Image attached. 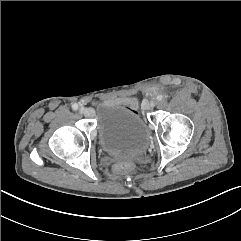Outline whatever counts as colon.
I'll use <instances>...</instances> for the list:
<instances>
[{
	"label": "colon",
	"mask_w": 241,
	"mask_h": 241,
	"mask_svg": "<svg viewBox=\"0 0 241 241\" xmlns=\"http://www.w3.org/2000/svg\"><path fill=\"white\" fill-rule=\"evenodd\" d=\"M134 169V165L131 162L125 161L122 163H119L116 166V170L118 172H130Z\"/></svg>",
	"instance_id": "obj_1"
}]
</instances>
